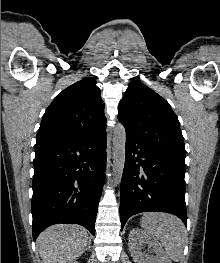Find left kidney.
<instances>
[{
  "label": "left kidney",
  "instance_id": "1",
  "mask_svg": "<svg viewBox=\"0 0 220 263\" xmlns=\"http://www.w3.org/2000/svg\"><path fill=\"white\" fill-rule=\"evenodd\" d=\"M128 239L131 257L136 263H172L166 256L157 239L145 231L134 228L130 231ZM143 241L153 247V251L156 254L155 256L148 257L141 252L140 243Z\"/></svg>",
  "mask_w": 220,
  "mask_h": 263
}]
</instances>
